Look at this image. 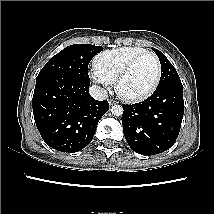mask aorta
<instances>
[{"label":"aorta","mask_w":214,"mask_h":214,"mask_svg":"<svg viewBox=\"0 0 214 214\" xmlns=\"http://www.w3.org/2000/svg\"><path fill=\"white\" fill-rule=\"evenodd\" d=\"M111 113L114 116H121L123 114V108L120 105H113L111 107Z\"/></svg>","instance_id":"762f6f07"}]
</instances>
